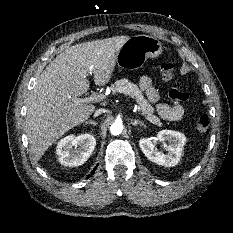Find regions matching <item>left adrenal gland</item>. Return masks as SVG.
Wrapping results in <instances>:
<instances>
[{"instance_id":"left-adrenal-gland-1","label":"left adrenal gland","mask_w":233,"mask_h":233,"mask_svg":"<svg viewBox=\"0 0 233 233\" xmlns=\"http://www.w3.org/2000/svg\"><path fill=\"white\" fill-rule=\"evenodd\" d=\"M131 124L133 126H137L138 124H140L141 126H145V123L143 121L138 120V119L131 120Z\"/></svg>"}]
</instances>
